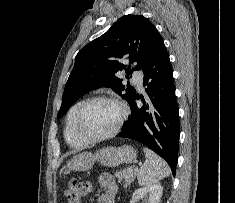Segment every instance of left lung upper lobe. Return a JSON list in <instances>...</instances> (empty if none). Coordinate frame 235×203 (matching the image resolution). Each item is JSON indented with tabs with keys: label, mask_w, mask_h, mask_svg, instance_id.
<instances>
[{
	"label": "left lung upper lobe",
	"mask_w": 235,
	"mask_h": 203,
	"mask_svg": "<svg viewBox=\"0 0 235 203\" xmlns=\"http://www.w3.org/2000/svg\"><path fill=\"white\" fill-rule=\"evenodd\" d=\"M160 39L156 27L145 17H121L105 34L84 46L76 55L57 117L63 116L87 92L104 86L112 87L130 103L136 90L125 87L117 73L125 70L130 75L133 70L130 65L126 68L122 60L135 64V70L142 69Z\"/></svg>",
	"instance_id": "left-lung-upper-lobe-1"
}]
</instances>
